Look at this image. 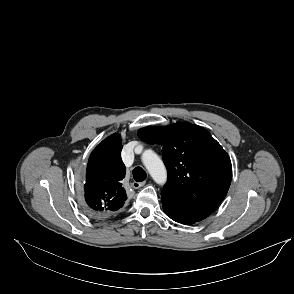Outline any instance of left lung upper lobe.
I'll list each match as a JSON object with an SVG mask.
<instances>
[{
    "label": "left lung upper lobe",
    "instance_id": "5c2ea615",
    "mask_svg": "<svg viewBox=\"0 0 294 294\" xmlns=\"http://www.w3.org/2000/svg\"><path fill=\"white\" fill-rule=\"evenodd\" d=\"M138 137L163 146L168 181L161 193L163 206L201 221L225 198L232 179L228 154L198 125L175 123L145 127Z\"/></svg>",
    "mask_w": 294,
    "mask_h": 294
}]
</instances>
